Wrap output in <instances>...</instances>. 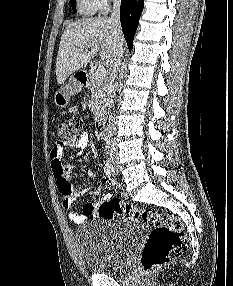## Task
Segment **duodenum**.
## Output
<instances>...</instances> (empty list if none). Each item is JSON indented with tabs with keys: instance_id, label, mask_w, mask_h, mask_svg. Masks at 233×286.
<instances>
[{
	"instance_id": "410a0bca",
	"label": "duodenum",
	"mask_w": 233,
	"mask_h": 286,
	"mask_svg": "<svg viewBox=\"0 0 233 286\" xmlns=\"http://www.w3.org/2000/svg\"><path fill=\"white\" fill-rule=\"evenodd\" d=\"M77 80L79 83H81L82 85H86L87 83V80H88V75L86 72H80L77 76ZM95 128L97 130V132L101 135H104L105 134V131H106V127H105V122H104V119L103 118H99L97 121H96V124H95Z\"/></svg>"
}]
</instances>
